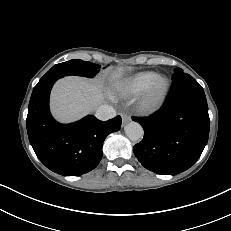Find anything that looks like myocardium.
Returning a JSON list of instances; mask_svg holds the SVG:
<instances>
[{"instance_id":"f54148a6","label":"myocardium","mask_w":231,"mask_h":231,"mask_svg":"<svg viewBox=\"0 0 231 231\" xmlns=\"http://www.w3.org/2000/svg\"><path fill=\"white\" fill-rule=\"evenodd\" d=\"M169 90V79L165 76L158 75L139 98L137 102L138 110L144 114L156 112L165 102Z\"/></svg>"}]
</instances>
